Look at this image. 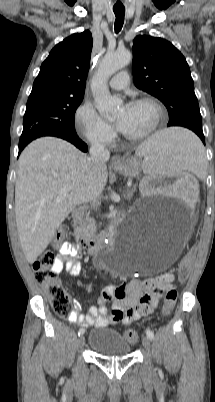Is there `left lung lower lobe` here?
Wrapping results in <instances>:
<instances>
[{
	"mask_svg": "<svg viewBox=\"0 0 215 402\" xmlns=\"http://www.w3.org/2000/svg\"><path fill=\"white\" fill-rule=\"evenodd\" d=\"M194 132L201 138L202 142L205 143V138H204L203 132H200V131H194Z\"/></svg>",
	"mask_w": 215,
	"mask_h": 402,
	"instance_id": "0a47b994",
	"label": "left lung lower lobe"
}]
</instances>
